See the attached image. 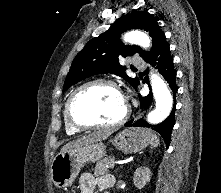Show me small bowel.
Here are the masks:
<instances>
[{
  "instance_id": "small-bowel-1",
  "label": "small bowel",
  "mask_w": 221,
  "mask_h": 193,
  "mask_svg": "<svg viewBox=\"0 0 221 193\" xmlns=\"http://www.w3.org/2000/svg\"><path fill=\"white\" fill-rule=\"evenodd\" d=\"M114 184L111 176L96 177L90 173L80 176V193H95L99 189L102 193H109L108 189Z\"/></svg>"
}]
</instances>
